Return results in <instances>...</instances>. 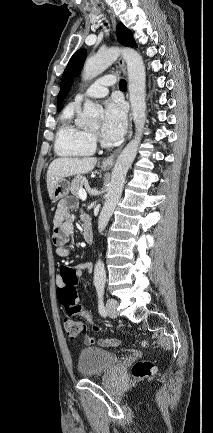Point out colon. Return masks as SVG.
<instances>
[{"label": "colon", "instance_id": "obj_1", "mask_svg": "<svg viewBox=\"0 0 213 433\" xmlns=\"http://www.w3.org/2000/svg\"><path fill=\"white\" fill-rule=\"evenodd\" d=\"M63 281V286L58 289V298L64 306L67 317L64 319L63 325L66 334L71 338H76L85 332V325L79 318L93 324L95 331H100L101 327L94 322L93 315L84 311L82 306L78 303L76 285L78 282V275L72 267H63L60 271ZM146 346L147 342H143ZM155 367L152 362L144 360L137 362L133 367V374L136 377L143 378L154 374Z\"/></svg>", "mask_w": 213, "mask_h": 433}]
</instances>
